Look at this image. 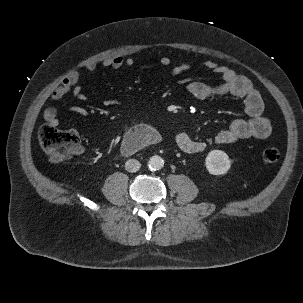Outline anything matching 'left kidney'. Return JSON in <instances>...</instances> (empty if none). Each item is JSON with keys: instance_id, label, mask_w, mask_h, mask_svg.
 Masks as SVG:
<instances>
[{"instance_id": "1", "label": "left kidney", "mask_w": 303, "mask_h": 303, "mask_svg": "<svg viewBox=\"0 0 303 303\" xmlns=\"http://www.w3.org/2000/svg\"><path fill=\"white\" fill-rule=\"evenodd\" d=\"M205 165L212 175H224L231 167L228 155L221 150H212L208 153Z\"/></svg>"}]
</instances>
